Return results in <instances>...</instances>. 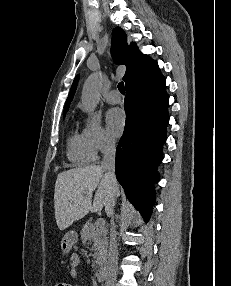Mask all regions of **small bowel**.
<instances>
[{
  "mask_svg": "<svg viewBox=\"0 0 231 286\" xmlns=\"http://www.w3.org/2000/svg\"><path fill=\"white\" fill-rule=\"evenodd\" d=\"M80 264V257L77 254H72L70 257V265H71V275L75 277L77 275V267Z\"/></svg>",
  "mask_w": 231,
  "mask_h": 286,
  "instance_id": "1",
  "label": "small bowel"
}]
</instances>
